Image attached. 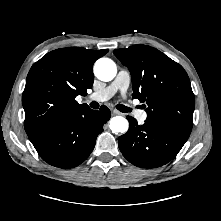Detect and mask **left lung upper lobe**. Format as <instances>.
I'll return each instance as SVG.
<instances>
[{
	"label": "left lung upper lobe",
	"instance_id": "obj_1",
	"mask_svg": "<svg viewBox=\"0 0 221 221\" xmlns=\"http://www.w3.org/2000/svg\"><path fill=\"white\" fill-rule=\"evenodd\" d=\"M114 54L131 73L133 98L147 103V120L189 136L195 98L184 68L147 45L116 49Z\"/></svg>",
	"mask_w": 221,
	"mask_h": 221
}]
</instances>
